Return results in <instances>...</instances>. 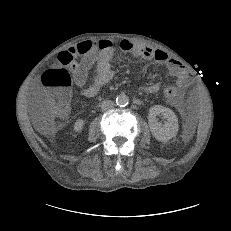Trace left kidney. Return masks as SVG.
<instances>
[{"label":"left kidney","instance_id":"obj_1","mask_svg":"<svg viewBox=\"0 0 231 231\" xmlns=\"http://www.w3.org/2000/svg\"><path fill=\"white\" fill-rule=\"evenodd\" d=\"M158 114L163 115L167 120L163 125L156 119ZM148 124L152 135L158 141L166 142L178 133L179 125L177 116L171 109L161 105H155L149 109Z\"/></svg>","mask_w":231,"mask_h":231}]
</instances>
